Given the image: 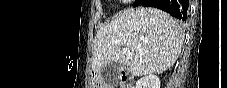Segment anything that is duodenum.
<instances>
[{"instance_id":"1","label":"duodenum","mask_w":227,"mask_h":88,"mask_svg":"<svg viewBox=\"0 0 227 88\" xmlns=\"http://www.w3.org/2000/svg\"><path fill=\"white\" fill-rule=\"evenodd\" d=\"M121 82L124 84V85H131L132 82H133V79L132 77L123 69L122 70V73H121Z\"/></svg>"}]
</instances>
